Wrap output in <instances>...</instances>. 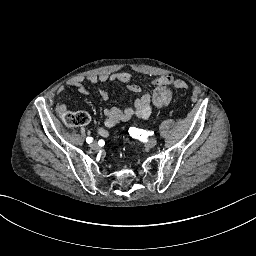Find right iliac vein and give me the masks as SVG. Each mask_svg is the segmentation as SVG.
I'll return each instance as SVG.
<instances>
[{
    "instance_id": "63e3f726",
    "label": "right iliac vein",
    "mask_w": 256,
    "mask_h": 256,
    "mask_svg": "<svg viewBox=\"0 0 256 256\" xmlns=\"http://www.w3.org/2000/svg\"><path fill=\"white\" fill-rule=\"evenodd\" d=\"M90 147H91L93 150H96V151H98V150L100 149L99 144H98L96 141H93V142L90 144Z\"/></svg>"
}]
</instances>
